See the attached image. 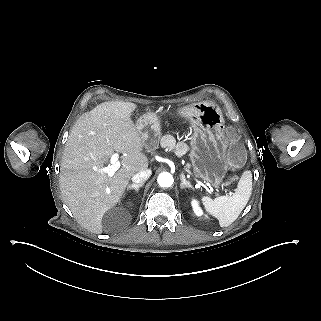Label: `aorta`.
<instances>
[{"instance_id": "obj_1", "label": "aorta", "mask_w": 321, "mask_h": 321, "mask_svg": "<svg viewBox=\"0 0 321 321\" xmlns=\"http://www.w3.org/2000/svg\"><path fill=\"white\" fill-rule=\"evenodd\" d=\"M157 182L161 187H170L174 182L173 176L168 172H162L158 178Z\"/></svg>"}]
</instances>
